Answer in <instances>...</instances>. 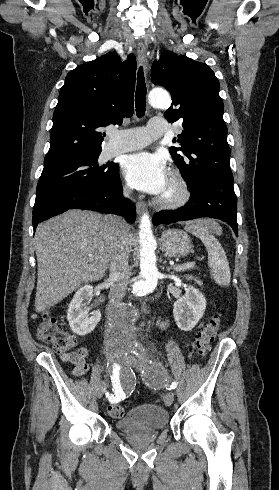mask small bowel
Returning <instances> with one entry per match:
<instances>
[{
	"mask_svg": "<svg viewBox=\"0 0 279 490\" xmlns=\"http://www.w3.org/2000/svg\"><path fill=\"white\" fill-rule=\"evenodd\" d=\"M162 328L166 327V323L161 322ZM88 350L84 347H77L74 351L63 352L60 354V359L63 362L72 364V373L75 376H81L89 370L87 362Z\"/></svg>",
	"mask_w": 279,
	"mask_h": 490,
	"instance_id": "c3829d8e",
	"label": "small bowel"
}]
</instances>
